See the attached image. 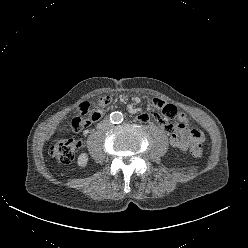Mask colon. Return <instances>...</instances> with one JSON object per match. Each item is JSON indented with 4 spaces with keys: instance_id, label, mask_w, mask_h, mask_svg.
<instances>
[{
    "instance_id": "5ec220e1",
    "label": "colon",
    "mask_w": 248,
    "mask_h": 248,
    "mask_svg": "<svg viewBox=\"0 0 248 248\" xmlns=\"http://www.w3.org/2000/svg\"><path fill=\"white\" fill-rule=\"evenodd\" d=\"M109 102L108 97L100 99L102 105ZM97 110L91 107L88 102L79 105L77 115L71 121V127L76 132L84 131L97 116ZM192 145L190 153L193 156H200L203 153L205 137L202 131L198 129L191 130ZM79 142L73 138H66L58 141L50 148V153L56 160L62 164H69L73 161L75 152L79 147Z\"/></svg>"
}]
</instances>
